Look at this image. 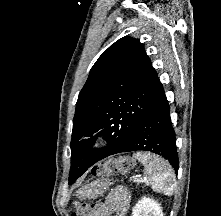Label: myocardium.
<instances>
[{
    "instance_id": "f54148a6",
    "label": "myocardium",
    "mask_w": 221,
    "mask_h": 216,
    "mask_svg": "<svg viewBox=\"0 0 221 216\" xmlns=\"http://www.w3.org/2000/svg\"><path fill=\"white\" fill-rule=\"evenodd\" d=\"M104 141H105V136L103 134H97L92 138L90 142V148L93 149L99 148L104 143Z\"/></svg>"
}]
</instances>
